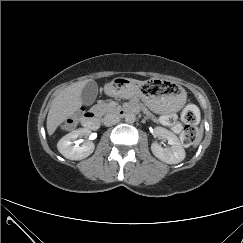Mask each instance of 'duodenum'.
Segmentation results:
<instances>
[{"instance_id": "duodenum-1", "label": "duodenum", "mask_w": 243, "mask_h": 243, "mask_svg": "<svg viewBox=\"0 0 243 243\" xmlns=\"http://www.w3.org/2000/svg\"><path fill=\"white\" fill-rule=\"evenodd\" d=\"M132 110L133 109L131 107L118 108L115 110V113L118 116L123 117L126 114L132 112ZM82 124L88 129L95 130L99 127V118L94 111L89 110L84 114L82 118Z\"/></svg>"}]
</instances>
